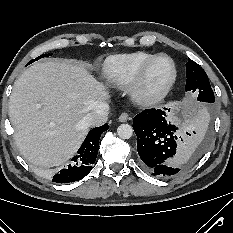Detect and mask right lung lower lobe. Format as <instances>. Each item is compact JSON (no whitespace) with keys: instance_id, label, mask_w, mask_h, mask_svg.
<instances>
[{"instance_id":"obj_1","label":"right lung lower lobe","mask_w":233,"mask_h":233,"mask_svg":"<svg viewBox=\"0 0 233 233\" xmlns=\"http://www.w3.org/2000/svg\"><path fill=\"white\" fill-rule=\"evenodd\" d=\"M109 128L108 124L93 128L87 135L71 163L53 177V182L69 183L81 180L92 169L96 161L101 134Z\"/></svg>"}]
</instances>
